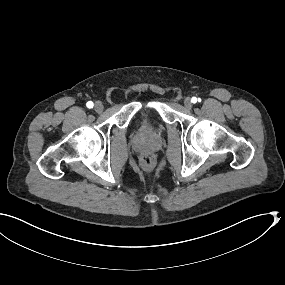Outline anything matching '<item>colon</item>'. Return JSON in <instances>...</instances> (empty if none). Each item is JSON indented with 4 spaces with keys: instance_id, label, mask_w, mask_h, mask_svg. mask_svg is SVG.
I'll return each mask as SVG.
<instances>
[{
    "instance_id": "1",
    "label": "colon",
    "mask_w": 285,
    "mask_h": 285,
    "mask_svg": "<svg viewBox=\"0 0 285 285\" xmlns=\"http://www.w3.org/2000/svg\"><path fill=\"white\" fill-rule=\"evenodd\" d=\"M140 164L144 170L149 171L154 167L155 159L152 155L145 154L141 157Z\"/></svg>"
}]
</instances>
